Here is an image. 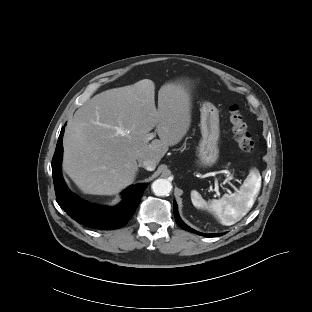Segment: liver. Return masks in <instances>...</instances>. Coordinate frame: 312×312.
<instances>
[{
    "instance_id": "6515ba94",
    "label": "liver",
    "mask_w": 312,
    "mask_h": 312,
    "mask_svg": "<svg viewBox=\"0 0 312 312\" xmlns=\"http://www.w3.org/2000/svg\"><path fill=\"white\" fill-rule=\"evenodd\" d=\"M191 105L188 83L179 82L160 88L158 109L150 79L95 95L67 124L65 172L86 194L118 193L135 180L138 158L159 163L182 140L191 125ZM154 127L160 139L148 143Z\"/></svg>"
}]
</instances>
